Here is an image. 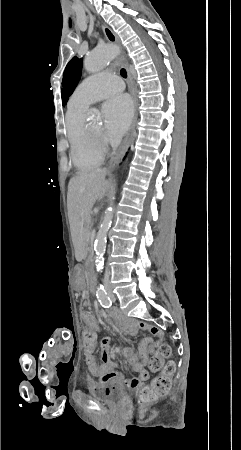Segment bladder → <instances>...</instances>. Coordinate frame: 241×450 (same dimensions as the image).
Here are the masks:
<instances>
[{
	"mask_svg": "<svg viewBox=\"0 0 241 450\" xmlns=\"http://www.w3.org/2000/svg\"><path fill=\"white\" fill-rule=\"evenodd\" d=\"M126 395L125 387L117 382H105L92 391V396L102 402H118Z\"/></svg>",
	"mask_w": 241,
	"mask_h": 450,
	"instance_id": "31cf9c89",
	"label": "bladder"
}]
</instances>
